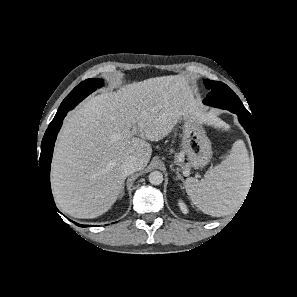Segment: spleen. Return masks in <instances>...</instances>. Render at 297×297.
<instances>
[{
	"label": "spleen",
	"mask_w": 297,
	"mask_h": 297,
	"mask_svg": "<svg viewBox=\"0 0 297 297\" xmlns=\"http://www.w3.org/2000/svg\"><path fill=\"white\" fill-rule=\"evenodd\" d=\"M250 160L246 146L237 140L221 164L210 169L199 181L188 178L184 185L191 201L204 213L220 217L236 211L251 182Z\"/></svg>",
	"instance_id": "spleen-1"
}]
</instances>
